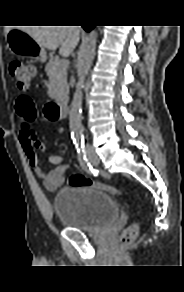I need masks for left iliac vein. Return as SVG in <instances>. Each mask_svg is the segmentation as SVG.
<instances>
[{"label":"left iliac vein","mask_w":184,"mask_h":292,"mask_svg":"<svg viewBox=\"0 0 184 292\" xmlns=\"http://www.w3.org/2000/svg\"><path fill=\"white\" fill-rule=\"evenodd\" d=\"M90 161H91V163H92L93 165H95V166H97L98 163H99V160H98L97 156H95L94 154H91V155H90Z\"/></svg>","instance_id":"obj_1"}]
</instances>
